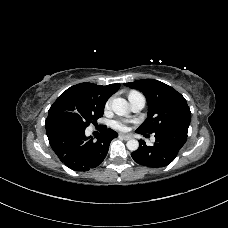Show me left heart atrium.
Masks as SVG:
<instances>
[{"label": "left heart atrium", "instance_id": "1", "mask_svg": "<svg viewBox=\"0 0 228 228\" xmlns=\"http://www.w3.org/2000/svg\"><path fill=\"white\" fill-rule=\"evenodd\" d=\"M128 121L125 120H117L112 122V127L118 130L125 131L128 129Z\"/></svg>", "mask_w": 228, "mask_h": 228}]
</instances>
